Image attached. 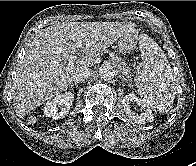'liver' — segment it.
I'll list each match as a JSON object with an SVG mask.
<instances>
[{"mask_svg": "<svg viewBox=\"0 0 196 166\" xmlns=\"http://www.w3.org/2000/svg\"><path fill=\"white\" fill-rule=\"evenodd\" d=\"M135 25L126 22H58L28 44L13 84L19 117L67 90L73 76ZM77 49L80 58L76 56Z\"/></svg>", "mask_w": 196, "mask_h": 166, "instance_id": "obj_1", "label": "liver"}]
</instances>
